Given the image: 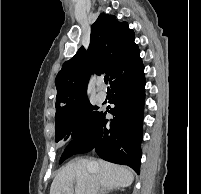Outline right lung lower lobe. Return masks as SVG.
I'll return each mask as SVG.
<instances>
[{
    "label": "right lung lower lobe",
    "mask_w": 201,
    "mask_h": 194,
    "mask_svg": "<svg viewBox=\"0 0 201 194\" xmlns=\"http://www.w3.org/2000/svg\"><path fill=\"white\" fill-rule=\"evenodd\" d=\"M144 66L141 58L127 73L111 83L115 105L109 110L114 118L101 112L92 126L65 149L74 155L95 149L104 160L128 165L140 172L143 107L145 99Z\"/></svg>",
    "instance_id": "obj_1"
}]
</instances>
